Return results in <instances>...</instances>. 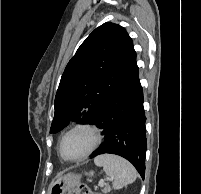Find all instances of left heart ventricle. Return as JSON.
<instances>
[{"mask_svg": "<svg viewBox=\"0 0 201 194\" xmlns=\"http://www.w3.org/2000/svg\"><path fill=\"white\" fill-rule=\"evenodd\" d=\"M91 143V134L85 130H78L66 136L62 144V152L68 158H75L82 155Z\"/></svg>", "mask_w": 201, "mask_h": 194, "instance_id": "left-heart-ventricle-1", "label": "left heart ventricle"}]
</instances>
